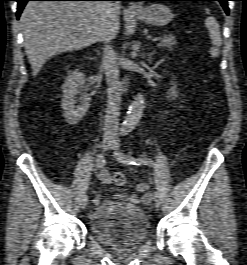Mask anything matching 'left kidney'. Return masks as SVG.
Listing matches in <instances>:
<instances>
[{
  "label": "left kidney",
  "mask_w": 247,
  "mask_h": 265,
  "mask_svg": "<svg viewBox=\"0 0 247 265\" xmlns=\"http://www.w3.org/2000/svg\"><path fill=\"white\" fill-rule=\"evenodd\" d=\"M168 100H175L178 97V91H177V83L172 82L171 87L167 93Z\"/></svg>",
  "instance_id": "obj_1"
}]
</instances>
